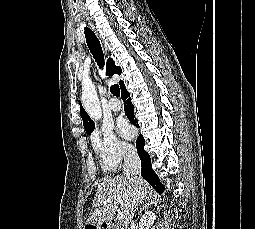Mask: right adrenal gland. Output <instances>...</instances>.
Listing matches in <instances>:
<instances>
[{
    "label": "right adrenal gland",
    "instance_id": "obj_1",
    "mask_svg": "<svg viewBox=\"0 0 255 229\" xmlns=\"http://www.w3.org/2000/svg\"><path fill=\"white\" fill-rule=\"evenodd\" d=\"M157 205L158 204V200L156 199V197H150V198H148V203H146L144 206H143V208H141V210L138 212V215H141L142 214V212L144 211V210H146V209H148L149 208V206H151V205Z\"/></svg>",
    "mask_w": 255,
    "mask_h": 229
}]
</instances>
